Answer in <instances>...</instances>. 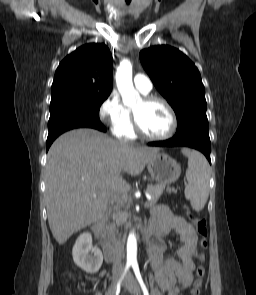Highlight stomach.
<instances>
[{
	"instance_id": "obj_1",
	"label": "stomach",
	"mask_w": 256,
	"mask_h": 295,
	"mask_svg": "<svg viewBox=\"0 0 256 295\" xmlns=\"http://www.w3.org/2000/svg\"><path fill=\"white\" fill-rule=\"evenodd\" d=\"M151 177L158 183L167 185L178 180L181 174V166L164 152H158L147 163Z\"/></svg>"
}]
</instances>
